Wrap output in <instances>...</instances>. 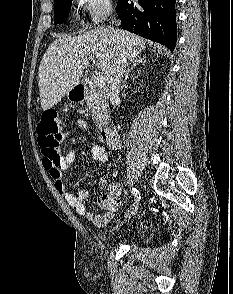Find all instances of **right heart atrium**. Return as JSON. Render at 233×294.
Listing matches in <instances>:
<instances>
[{"mask_svg": "<svg viewBox=\"0 0 233 294\" xmlns=\"http://www.w3.org/2000/svg\"><path fill=\"white\" fill-rule=\"evenodd\" d=\"M79 13L85 21L98 26L112 13L111 0H76Z\"/></svg>", "mask_w": 233, "mask_h": 294, "instance_id": "1", "label": "right heart atrium"}]
</instances>
